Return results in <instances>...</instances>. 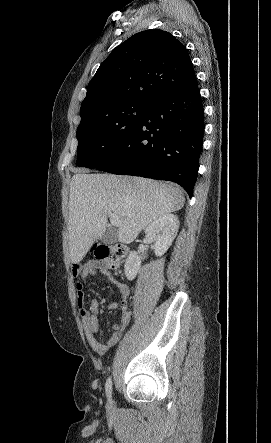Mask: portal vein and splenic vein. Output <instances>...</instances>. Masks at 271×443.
Returning a JSON list of instances; mask_svg holds the SVG:
<instances>
[{
    "mask_svg": "<svg viewBox=\"0 0 271 443\" xmlns=\"http://www.w3.org/2000/svg\"><path fill=\"white\" fill-rule=\"evenodd\" d=\"M110 222L112 225H119L120 220L117 218L116 214H110Z\"/></svg>",
    "mask_w": 271,
    "mask_h": 443,
    "instance_id": "1",
    "label": "portal vein and splenic vein"
}]
</instances>
